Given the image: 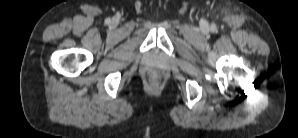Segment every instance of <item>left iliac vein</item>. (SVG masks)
I'll list each match as a JSON object with an SVG mask.
<instances>
[{
	"instance_id": "obj_1",
	"label": "left iliac vein",
	"mask_w": 298,
	"mask_h": 138,
	"mask_svg": "<svg viewBox=\"0 0 298 138\" xmlns=\"http://www.w3.org/2000/svg\"><path fill=\"white\" fill-rule=\"evenodd\" d=\"M203 29H207V24L206 23H203Z\"/></svg>"
}]
</instances>
